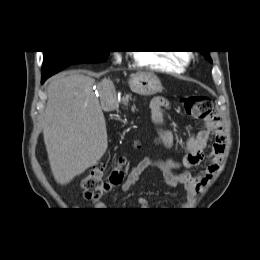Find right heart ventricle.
<instances>
[{
    "label": "right heart ventricle",
    "mask_w": 260,
    "mask_h": 260,
    "mask_svg": "<svg viewBox=\"0 0 260 260\" xmlns=\"http://www.w3.org/2000/svg\"><path fill=\"white\" fill-rule=\"evenodd\" d=\"M134 58L142 66L172 73L183 72L189 62V58L186 55L173 52H137Z\"/></svg>",
    "instance_id": "right-heart-ventricle-1"
}]
</instances>
